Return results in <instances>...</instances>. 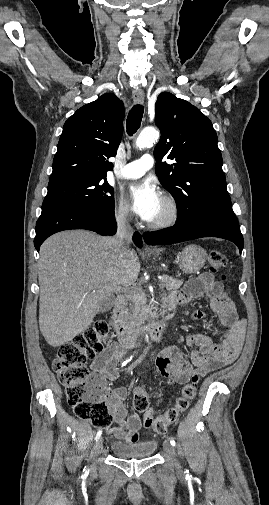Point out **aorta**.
I'll list each match as a JSON object with an SVG mask.
<instances>
[{"label":"aorta","mask_w":269,"mask_h":505,"mask_svg":"<svg viewBox=\"0 0 269 505\" xmlns=\"http://www.w3.org/2000/svg\"><path fill=\"white\" fill-rule=\"evenodd\" d=\"M159 138V132L153 128L148 127L141 131L136 139V147L139 149L146 148L153 145Z\"/></svg>","instance_id":"obj_1"}]
</instances>
